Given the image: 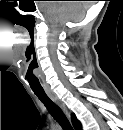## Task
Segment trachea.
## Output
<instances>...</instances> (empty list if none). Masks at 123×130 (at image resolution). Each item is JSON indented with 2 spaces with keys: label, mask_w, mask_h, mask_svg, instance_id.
Masks as SVG:
<instances>
[{
  "label": "trachea",
  "mask_w": 123,
  "mask_h": 130,
  "mask_svg": "<svg viewBox=\"0 0 123 130\" xmlns=\"http://www.w3.org/2000/svg\"><path fill=\"white\" fill-rule=\"evenodd\" d=\"M38 99L45 105L48 112L63 130H73L69 120L61 108L54 103L45 92H34Z\"/></svg>",
  "instance_id": "3493384b"
}]
</instances>
